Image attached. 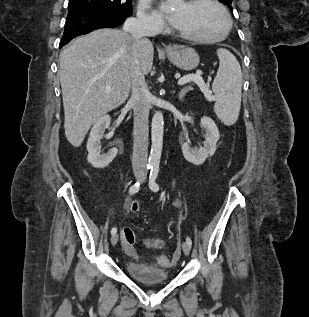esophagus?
<instances>
[{"instance_id":"1","label":"esophagus","mask_w":309,"mask_h":317,"mask_svg":"<svg viewBox=\"0 0 309 317\" xmlns=\"http://www.w3.org/2000/svg\"><path fill=\"white\" fill-rule=\"evenodd\" d=\"M166 50H171V46H170V45H167V46H166Z\"/></svg>"}]
</instances>
